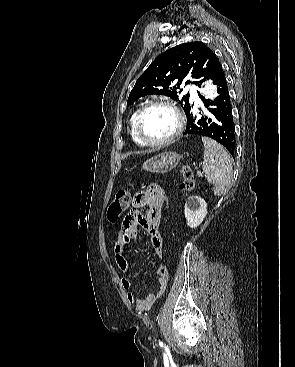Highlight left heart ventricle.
Returning a JSON list of instances; mask_svg holds the SVG:
<instances>
[{
  "label": "left heart ventricle",
  "instance_id": "obj_1",
  "mask_svg": "<svg viewBox=\"0 0 295 367\" xmlns=\"http://www.w3.org/2000/svg\"><path fill=\"white\" fill-rule=\"evenodd\" d=\"M176 124V117L170 109L157 106L144 113L141 120V131L146 139L160 141L173 134Z\"/></svg>",
  "mask_w": 295,
  "mask_h": 367
}]
</instances>
